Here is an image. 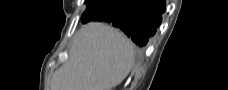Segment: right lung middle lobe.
Masks as SVG:
<instances>
[{
  "mask_svg": "<svg viewBox=\"0 0 228 90\" xmlns=\"http://www.w3.org/2000/svg\"><path fill=\"white\" fill-rule=\"evenodd\" d=\"M99 2V0H85V3L87 4V5H89V4H91V3H98Z\"/></svg>",
  "mask_w": 228,
  "mask_h": 90,
  "instance_id": "obj_1",
  "label": "right lung middle lobe"
}]
</instances>
